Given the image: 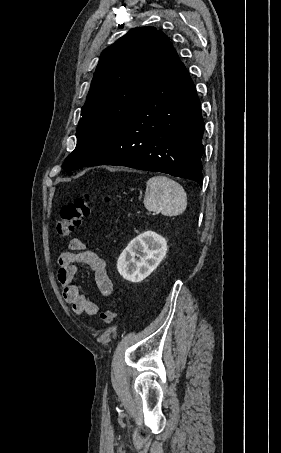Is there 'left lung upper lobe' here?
<instances>
[{
    "label": "left lung upper lobe",
    "instance_id": "1",
    "mask_svg": "<svg viewBox=\"0 0 281 453\" xmlns=\"http://www.w3.org/2000/svg\"><path fill=\"white\" fill-rule=\"evenodd\" d=\"M169 38L140 27L106 48L99 59L77 128V145L62 168L69 174L93 161L127 121L171 51Z\"/></svg>",
    "mask_w": 281,
    "mask_h": 453
}]
</instances>
